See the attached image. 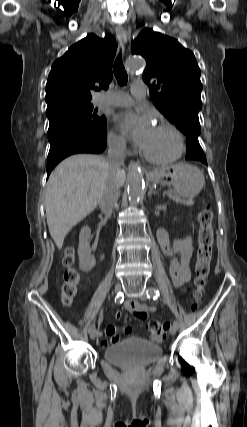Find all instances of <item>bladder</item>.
I'll use <instances>...</instances> for the list:
<instances>
[{"label":"bladder","instance_id":"31cf9c89","mask_svg":"<svg viewBox=\"0 0 247 427\" xmlns=\"http://www.w3.org/2000/svg\"><path fill=\"white\" fill-rule=\"evenodd\" d=\"M103 355L111 364L140 369L155 362L162 355V348L151 342L129 339L106 347Z\"/></svg>","mask_w":247,"mask_h":427}]
</instances>
